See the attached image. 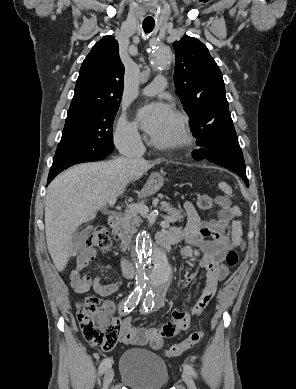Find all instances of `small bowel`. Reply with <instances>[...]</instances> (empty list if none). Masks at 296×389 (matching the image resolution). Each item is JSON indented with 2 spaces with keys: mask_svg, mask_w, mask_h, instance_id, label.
Masks as SVG:
<instances>
[{
  "mask_svg": "<svg viewBox=\"0 0 296 389\" xmlns=\"http://www.w3.org/2000/svg\"><path fill=\"white\" fill-rule=\"evenodd\" d=\"M218 218L210 221H202L195 207L190 202L184 203L187 223L183 230L171 227L158 235L169 236L176 242L182 240L185 245L181 254L196 262L197 266L206 270V281L199 296L197 297L192 312L199 314L207 306L215 295L219 282L229 275V269L224 264L226 252L232 247L230 239V221L233 211L226 199H219ZM208 237L212 240L207 239ZM96 256V250L91 247L84 248L77 257L75 268L71 271V286L77 293H84L93 289L98 295L107 297L114 294L120 287V282L115 281L103 284L99 277L83 275L82 271ZM192 279L190 272L185 275V284ZM103 306L114 313L116 303L106 300ZM190 315L181 308L172 313V321L155 327H134L131 319L125 317L120 321V341L127 345L143 346L150 345L153 349H160L168 340L175 338L181 331L190 327Z\"/></svg>",
  "mask_w": 296,
  "mask_h": 389,
  "instance_id": "small-bowel-1",
  "label": "small bowel"
}]
</instances>
